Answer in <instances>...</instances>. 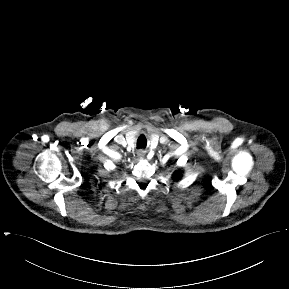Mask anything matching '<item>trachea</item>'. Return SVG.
<instances>
[{"instance_id":"3493384b","label":"trachea","mask_w":289,"mask_h":289,"mask_svg":"<svg viewBox=\"0 0 289 289\" xmlns=\"http://www.w3.org/2000/svg\"><path fill=\"white\" fill-rule=\"evenodd\" d=\"M147 145V140L144 135H141L137 140V148H145Z\"/></svg>"}]
</instances>
